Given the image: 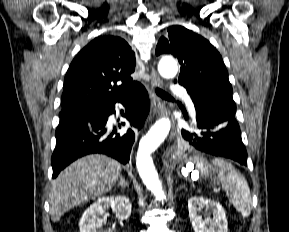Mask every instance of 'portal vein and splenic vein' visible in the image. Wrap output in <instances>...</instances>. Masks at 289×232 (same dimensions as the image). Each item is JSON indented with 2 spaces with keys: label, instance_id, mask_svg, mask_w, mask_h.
Listing matches in <instances>:
<instances>
[{
  "label": "portal vein and splenic vein",
  "instance_id": "portal-vein-and-splenic-vein-1",
  "mask_svg": "<svg viewBox=\"0 0 289 232\" xmlns=\"http://www.w3.org/2000/svg\"><path fill=\"white\" fill-rule=\"evenodd\" d=\"M214 191H215L216 193H218V192L220 191V189H219V188H216Z\"/></svg>",
  "mask_w": 289,
  "mask_h": 232
}]
</instances>
